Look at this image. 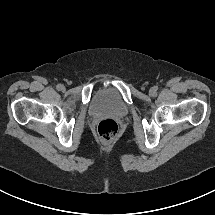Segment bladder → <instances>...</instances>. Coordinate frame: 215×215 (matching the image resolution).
Returning a JSON list of instances; mask_svg holds the SVG:
<instances>
[{
  "instance_id": "1",
  "label": "bladder",
  "mask_w": 215,
  "mask_h": 215,
  "mask_svg": "<svg viewBox=\"0 0 215 215\" xmlns=\"http://www.w3.org/2000/svg\"><path fill=\"white\" fill-rule=\"evenodd\" d=\"M89 110L93 115L110 114L117 117L126 116L129 108L120 93L112 87H102L93 94Z\"/></svg>"
}]
</instances>
